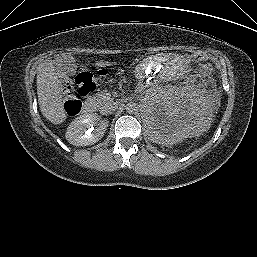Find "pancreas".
<instances>
[{"label":"pancreas","instance_id":"pancreas-1","mask_svg":"<svg viewBox=\"0 0 257 257\" xmlns=\"http://www.w3.org/2000/svg\"><path fill=\"white\" fill-rule=\"evenodd\" d=\"M108 100L109 96H107L105 93H97L92 97L91 103L95 108L100 109Z\"/></svg>","mask_w":257,"mask_h":257}]
</instances>
